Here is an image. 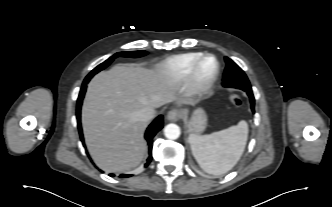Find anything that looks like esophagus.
<instances>
[{"label":"esophagus","mask_w":332,"mask_h":207,"mask_svg":"<svg viewBox=\"0 0 332 207\" xmlns=\"http://www.w3.org/2000/svg\"><path fill=\"white\" fill-rule=\"evenodd\" d=\"M182 113L178 109H172L167 113V119L169 121H177L181 118Z\"/></svg>","instance_id":"obj_1"}]
</instances>
